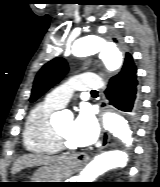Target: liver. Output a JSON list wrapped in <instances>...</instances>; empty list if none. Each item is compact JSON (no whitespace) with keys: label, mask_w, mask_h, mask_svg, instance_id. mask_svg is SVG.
Here are the masks:
<instances>
[{"label":"liver","mask_w":160,"mask_h":187,"mask_svg":"<svg viewBox=\"0 0 160 187\" xmlns=\"http://www.w3.org/2000/svg\"><path fill=\"white\" fill-rule=\"evenodd\" d=\"M63 159L65 158L59 156H42L35 154L23 155L14 162L12 174H16L17 172L28 167L49 166Z\"/></svg>","instance_id":"1"}]
</instances>
